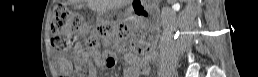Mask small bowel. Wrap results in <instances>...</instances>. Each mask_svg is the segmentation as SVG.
Returning a JSON list of instances; mask_svg holds the SVG:
<instances>
[{"instance_id": "obj_1", "label": "small bowel", "mask_w": 258, "mask_h": 77, "mask_svg": "<svg viewBox=\"0 0 258 77\" xmlns=\"http://www.w3.org/2000/svg\"><path fill=\"white\" fill-rule=\"evenodd\" d=\"M156 59L155 51L151 50L142 56L134 54H126L125 60L127 62V75L139 76L141 74L147 75L150 70V63ZM99 65L106 69H115L117 67L116 55L112 52H106L97 56Z\"/></svg>"}]
</instances>
